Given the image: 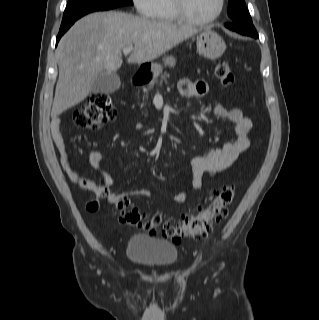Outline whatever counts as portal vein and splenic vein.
I'll return each mask as SVG.
<instances>
[{
    "label": "portal vein and splenic vein",
    "instance_id": "obj_1",
    "mask_svg": "<svg viewBox=\"0 0 319 320\" xmlns=\"http://www.w3.org/2000/svg\"><path fill=\"white\" fill-rule=\"evenodd\" d=\"M133 50V47H126L123 49L124 55H128Z\"/></svg>",
    "mask_w": 319,
    "mask_h": 320
}]
</instances>
